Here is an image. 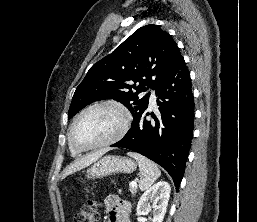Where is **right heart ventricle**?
Masks as SVG:
<instances>
[{
    "label": "right heart ventricle",
    "mask_w": 257,
    "mask_h": 222,
    "mask_svg": "<svg viewBox=\"0 0 257 222\" xmlns=\"http://www.w3.org/2000/svg\"><path fill=\"white\" fill-rule=\"evenodd\" d=\"M69 148H70V151L72 152V154L76 155L78 154L79 152L75 151L69 144Z\"/></svg>",
    "instance_id": "e07e8e85"
}]
</instances>
